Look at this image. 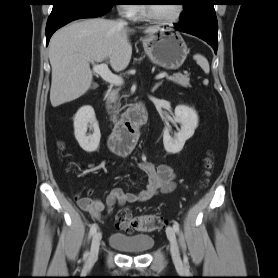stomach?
<instances>
[{
  "instance_id": "1",
  "label": "stomach",
  "mask_w": 278,
  "mask_h": 278,
  "mask_svg": "<svg viewBox=\"0 0 278 278\" xmlns=\"http://www.w3.org/2000/svg\"><path fill=\"white\" fill-rule=\"evenodd\" d=\"M142 43L150 61L165 69H178L188 54L187 45L178 33L161 30L158 35L144 37Z\"/></svg>"
}]
</instances>
